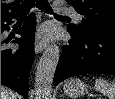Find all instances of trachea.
Here are the masks:
<instances>
[{"instance_id": "3493384b", "label": "trachea", "mask_w": 115, "mask_h": 99, "mask_svg": "<svg viewBox=\"0 0 115 99\" xmlns=\"http://www.w3.org/2000/svg\"><path fill=\"white\" fill-rule=\"evenodd\" d=\"M36 4V7L40 9L42 12L53 14V10L47 0H25L22 4L25 12L24 14L28 13V10ZM56 17H64L68 18L67 16H60L55 14Z\"/></svg>"}]
</instances>
